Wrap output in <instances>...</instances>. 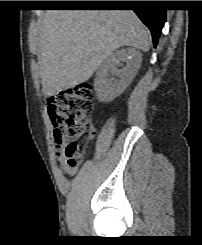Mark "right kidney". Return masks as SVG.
Segmentation results:
<instances>
[{"instance_id":"obj_1","label":"right kidney","mask_w":202,"mask_h":245,"mask_svg":"<svg viewBox=\"0 0 202 245\" xmlns=\"http://www.w3.org/2000/svg\"><path fill=\"white\" fill-rule=\"evenodd\" d=\"M141 61V53L134 48L121 49L110 54L99 66L94 79L98 100L109 102L119 96L135 77ZM121 62L125 66L118 69Z\"/></svg>"}]
</instances>
